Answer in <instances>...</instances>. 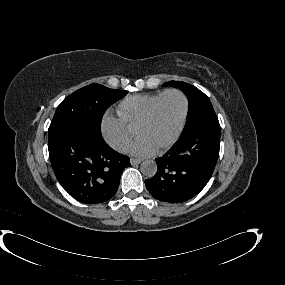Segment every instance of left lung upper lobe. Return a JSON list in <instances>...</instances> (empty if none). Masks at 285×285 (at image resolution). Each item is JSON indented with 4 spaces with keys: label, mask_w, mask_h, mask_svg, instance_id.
Masks as SVG:
<instances>
[{
    "label": "left lung upper lobe",
    "mask_w": 285,
    "mask_h": 285,
    "mask_svg": "<svg viewBox=\"0 0 285 285\" xmlns=\"http://www.w3.org/2000/svg\"><path fill=\"white\" fill-rule=\"evenodd\" d=\"M164 86L179 87L188 98L189 110L183 132L202 119L216 116L209 98L196 87L182 81H170L165 83Z\"/></svg>",
    "instance_id": "5c2ea615"
}]
</instances>
